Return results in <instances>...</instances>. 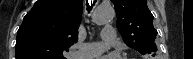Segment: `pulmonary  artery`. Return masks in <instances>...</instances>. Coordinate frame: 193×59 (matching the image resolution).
Segmentation results:
<instances>
[{
    "instance_id": "1",
    "label": "pulmonary artery",
    "mask_w": 193,
    "mask_h": 59,
    "mask_svg": "<svg viewBox=\"0 0 193 59\" xmlns=\"http://www.w3.org/2000/svg\"><path fill=\"white\" fill-rule=\"evenodd\" d=\"M103 41L87 43L82 48L78 49L74 55V59H91L94 58L105 50L108 44L117 41V36L114 29L110 26H105L102 29Z\"/></svg>"
}]
</instances>
